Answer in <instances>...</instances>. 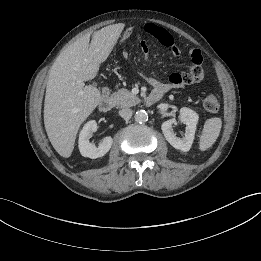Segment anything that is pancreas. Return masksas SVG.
I'll return each instance as SVG.
<instances>
[{"label": "pancreas", "instance_id": "1", "mask_svg": "<svg viewBox=\"0 0 261 261\" xmlns=\"http://www.w3.org/2000/svg\"><path fill=\"white\" fill-rule=\"evenodd\" d=\"M111 100L115 106L119 108L132 107L136 105L140 99L132 94L129 90L122 88L111 95Z\"/></svg>", "mask_w": 261, "mask_h": 261}]
</instances>
